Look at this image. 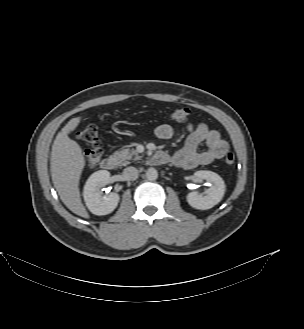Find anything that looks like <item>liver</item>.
<instances>
[{
    "mask_svg": "<svg viewBox=\"0 0 304 329\" xmlns=\"http://www.w3.org/2000/svg\"><path fill=\"white\" fill-rule=\"evenodd\" d=\"M80 121L81 117L72 118L57 134L52 145L50 171L54 187L66 207L83 218H89L79 191L85 159L79 144L68 136Z\"/></svg>",
    "mask_w": 304,
    "mask_h": 329,
    "instance_id": "obj_1",
    "label": "liver"
}]
</instances>
